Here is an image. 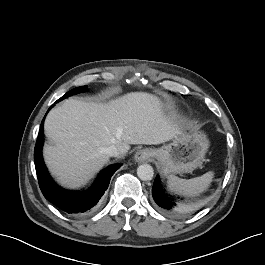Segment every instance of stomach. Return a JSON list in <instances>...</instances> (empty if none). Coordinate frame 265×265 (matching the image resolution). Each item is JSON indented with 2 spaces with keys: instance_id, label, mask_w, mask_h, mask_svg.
Segmentation results:
<instances>
[{
  "instance_id": "stomach-1",
  "label": "stomach",
  "mask_w": 265,
  "mask_h": 265,
  "mask_svg": "<svg viewBox=\"0 0 265 265\" xmlns=\"http://www.w3.org/2000/svg\"><path fill=\"white\" fill-rule=\"evenodd\" d=\"M209 148L205 133L187 126L172 142L153 150L158 168L164 175L191 173L202 165Z\"/></svg>"
}]
</instances>
